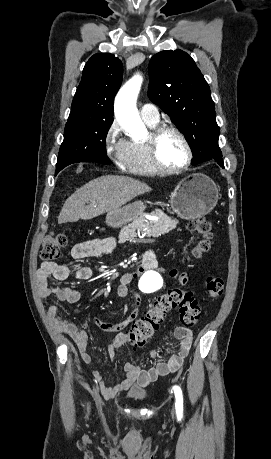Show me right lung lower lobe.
I'll use <instances>...</instances> for the list:
<instances>
[{
	"mask_svg": "<svg viewBox=\"0 0 271 459\" xmlns=\"http://www.w3.org/2000/svg\"><path fill=\"white\" fill-rule=\"evenodd\" d=\"M65 167H66V166H65ZM63 168H64V167L56 168V174H57L60 170H62Z\"/></svg>",
	"mask_w": 271,
	"mask_h": 459,
	"instance_id": "98d812e1",
	"label": "right lung lower lobe"
}]
</instances>
